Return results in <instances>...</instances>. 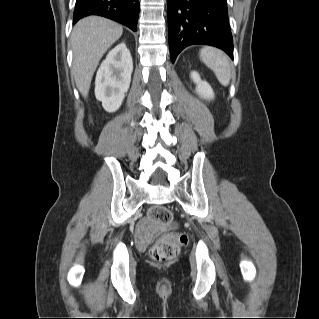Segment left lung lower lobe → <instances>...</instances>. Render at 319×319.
<instances>
[{
    "mask_svg": "<svg viewBox=\"0 0 319 319\" xmlns=\"http://www.w3.org/2000/svg\"><path fill=\"white\" fill-rule=\"evenodd\" d=\"M172 63L187 46L218 47L233 59V39L226 0H167Z\"/></svg>",
    "mask_w": 319,
    "mask_h": 319,
    "instance_id": "obj_1",
    "label": "left lung lower lobe"
}]
</instances>
